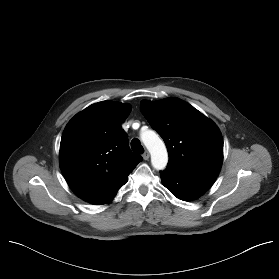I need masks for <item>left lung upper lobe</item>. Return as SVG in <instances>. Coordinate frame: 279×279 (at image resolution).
<instances>
[{
	"instance_id": "left-lung-upper-lobe-1",
	"label": "left lung upper lobe",
	"mask_w": 279,
	"mask_h": 279,
	"mask_svg": "<svg viewBox=\"0 0 279 279\" xmlns=\"http://www.w3.org/2000/svg\"><path fill=\"white\" fill-rule=\"evenodd\" d=\"M141 111L166 144L167 168L199 177L218 176L223 138L212 120L178 98L143 101Z\"/></svg>"
}]
</instances>
